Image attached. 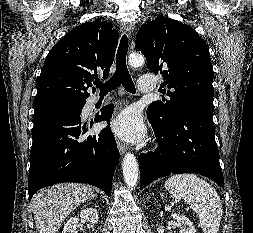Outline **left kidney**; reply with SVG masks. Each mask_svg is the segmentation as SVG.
Listing matches in <instances>:
<instances>
[{
  "mask_svg": "<svg viewBox=\"0 0 253 233\" xmlns=\"http://www.w3.org/2000/svg\"><path fill=\"white\" fill-rule=\"evenodd\" d=\"M171 217L177 221V224L181 229V233H196L195 227L186 216L172 213Z\"/></svg>",
  "mask_w": 253,
  "mask_h": 233,
  "instance_id": "5707ae66",
  "label": "left kidney"
}]
</instances>
